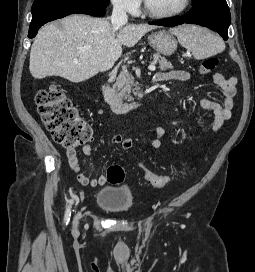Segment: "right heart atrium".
<instances>
[{"mask_svg":"<svg viewBox=\"0 0 255 272\" xmlns=\"http://www.w3.org/2000/svg\"><path fill=\"white\" fill-rule=\"evenodd\" d=\"M110 1L115 10L130 15L136 14L140 8V0H110Z\"/></svg>","mask_w":255,"mask_h":272,"instance_id":"right-heart-atrium-1","label":"right heart atrium"}]
</instances>
